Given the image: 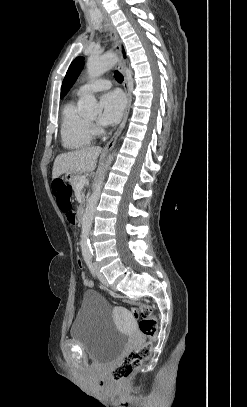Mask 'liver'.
Here are the masks:
<instances>
[{
    "label": "liver",
    "instance_id": "liver-1",
    "mask_svg": "<svg viewBox=\"0 0 247 407\" xmlns=\"http://www.w3.org/2000/svg\"><path fill=\"white\" fill-rule=\"evenodd\" d=\"M100 154V147H87L60 154L54 161L52 178L56 179L63 173L81 174L91 172L95 169Z\"/></svg>",
    "mask_w": 247,
    "mask_h": 407
}]
</instances>
